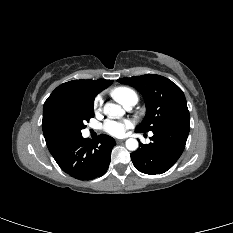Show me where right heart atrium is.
<instances>
[{"mask_svg":"<svg viewBox=\"0 0 233 233\" xmlns=\"http://www.w3.org/2000/svg\"><path fill=\"white\" fill-rule=\"evenodd\" d=\"M95 111H100L102 107V97L99 95L95 98L94 104H93Z\"/></svg>","mask_w":233,"mask_h":233,"instance_id":"obj_1","label":"right heart atrium"}]
</instances>
